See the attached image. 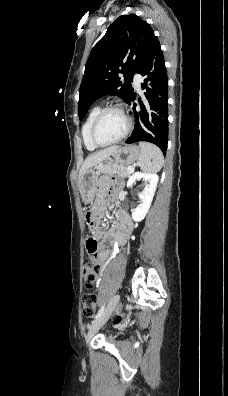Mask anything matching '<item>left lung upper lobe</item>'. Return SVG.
<instances>
[{
	"label": "left lung upper lobe",
	"mask_w": 228,
	"mask_h": 396,
	"mask_svg": "<svg viewBox=\"0 0 228 396\" xmlns=\"http://www.w3.org/2000/svg\"><path fill=\"white\" fill-rule=\"evenodd\" d=\"M156 38L149 24L135 14L122 15L109 26L85 66L79 89V119L102 95H117L128 103L133 94V75L141 71Z\"/></svg>",
	"instance_id": "1"
}]
</instances>
